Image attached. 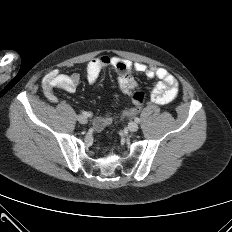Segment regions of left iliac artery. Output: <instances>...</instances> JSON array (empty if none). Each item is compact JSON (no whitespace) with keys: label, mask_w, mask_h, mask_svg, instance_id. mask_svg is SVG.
I'll list each match as a JSON object with an SVG mask.
<instances>
[{"label":"left iliac artery","mask_w":232,"mask_h":232,"mask_svg":"<svg viewBox=\"0 0 232 232\" xmlns=\"http://www.w3.org/2000/svg\"><path fill=\"white\" fill-rule=\"evenodd\" d=\"M135 122L136 123H139L140 122V119L138 117L135 118Z\"/></svg>","instance_id":"44dca946"}]
</instances>
